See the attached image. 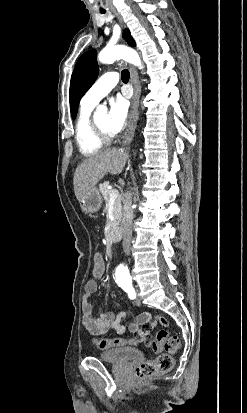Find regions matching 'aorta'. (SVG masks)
Masks as SVG:
<instances>
[{
	"label": "aorta",
	"mask_w": 247,
	"mask_h": 413,
	"mask_svg": "<svg viewBox=\"0 0 247 413\" xmlns=\"http://www.w3.org/2000/svg\"><path fill=\"white\" fill-rule=\"evenodd\" d=\"M117 59H123L128 63L138 66L140 69L143 68L138 53L132 48L124 45L105 47L98 55V60L104 64L113 63ZM119 273L122 274V277L128 275V271L124 267L119 269Z\"/></svg>",
	"instance_id": "aorta-1"
}]
</instances>
